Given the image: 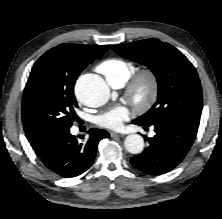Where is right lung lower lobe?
<instances>
[{"instance_id":"98d812e1","label":"right lung lower lobe","mask_w":222,"mask_h":219,"mask_svg":"<svg viewBox=\"0 0 222 219\" xmlns=\"http://www.w3.org/2000/svg\"><path fill=\"white\" fill-rule=\"evenodd\" d=\"M88 134L86 141L78 140L69 129L57 135L47 151L40 155L44 165L67 178L85 172L94 161L99 141L109 137V133L101 129H90Z\"/></svg>"}]
</instances>
